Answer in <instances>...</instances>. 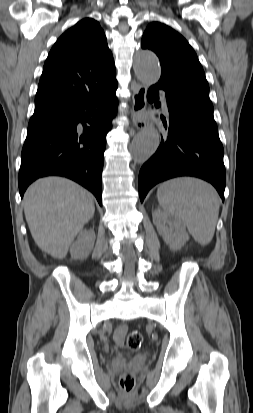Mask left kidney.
Returning <instances> with one entry per match:
<instances>
[{"label": "left kidney", "instance_id": "5707ae66", "mask_svg": "<svg viewBox=\"0 0 253 413\" xmlns=\"http://www.w3.org/2000/svg\"><path fill=\"white\" fill-rule=\"evenodd\" d=\"M152 217L159 235L170 249L178 250L189 240L185 226L179 219L159 209L152 213Z\"/></svg>", "mask_w": 253, "mask_h": 413}]
</instances>
